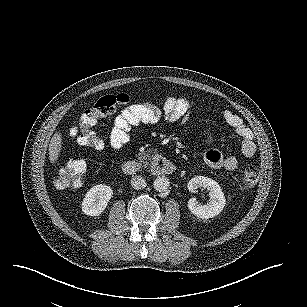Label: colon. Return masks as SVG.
<instances>
[{"instance_id":"obj_1","label":"colon","mask_w":307,"mask_h":307,"mask_svg":"<svg viewBox=\"0 0 307 307\" xmlns=\"http://www.w3.org/2000/svg\"><path fill=\"white\" fill-rule=\"evenodd\" d=\"M130 97L126 94L108 95L100 98L94 106L86 109L81 117V134L79 141L83 146L102 149L105 145L103 138L92 130L97 120L112 115L118 108L126 106ZM87 165L81 158L70 160L65 167L55 174L54 182L59 189H74L80 187L86 176ZM259 178L258 169L255 166H247L240 176V184L245 189L253 188Z\"/></svg>"}]
</instances>
